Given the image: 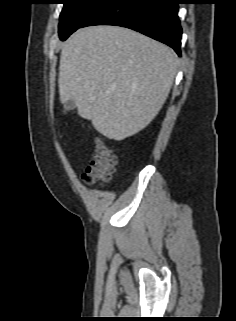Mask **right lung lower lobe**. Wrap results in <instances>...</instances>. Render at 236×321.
I'll list each match as a JSON object with an SVG mask.
<instances>
[{"instance_id": "obj_1", "label": "right lung lower lobe", "mask_w": 236, "mask_h": 321, "mask_svg": "<svg viewBox=\"0 0 236 321\" xmlns=\"http://www.w3.org/2000/svg\"><path fill=\"white\" fill-rule=\"evenodd\" d=\"M178 4L177 0H109L80 27H127L169 45L180 56L182 29Z\"/></svg>"}]
</instances>
